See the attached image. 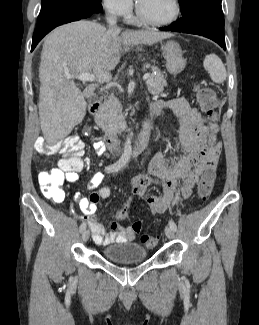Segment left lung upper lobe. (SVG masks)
Returning <instances> with one entry per match:
<instances>
[{"label":"left lung upper lobe","instance_id":"1","mask_svg":"<svg viewBox=\"0 0 259 325\" xmlns=\"http://www.w3.org/2000/svg\"><path fill=\"white\" fill-rule=\"evenodd\" d=\"M178 1L182 8V15H185L186 13H188L189 10L191 9L193 3L198 2V1H207V2L221 5V0H178Z\"/></svg>","mask_w":259,"mask_h":325}]
</instances>
